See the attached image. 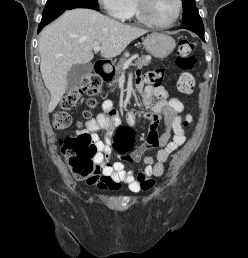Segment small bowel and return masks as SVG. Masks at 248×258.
Wrapping results in <instances>:
<instances>
[{
    "label": "small bowel",
    "instance_id": "c3829d8e",
    "mask_svg": "<svg viewBox=\"0 0 248 258\" xmlns=\"http://www.w3.org/2000/svg\"><path fill=\"white\" fill-rule=\"evenodd\" d=\"M143 103L150 107L149 112L131 110L127 114V123L134 125L137 119H147L151 121L150 132L147 139L138 145L132 154L124 157V160L130 163L138 162L147 150L159 147L156 159L152 156H145L144 168L138 177H135L132 171L126 170L123 161L110 162L111 155V137L114 130L120 124V117L113 107V102L106 99L102 103V112L95 118L86 122L85 129L79 133L90 134L97 147V154L94 162L102 169L103 175L97 180H87V185H96L101 189H117L121 184L127 185L132 192H144L151 188V177H159L164 173V164L185 140V130L182 127V112L184 105L178 98H169L166 89L163 86L147 85L143 87L140 80L137 81ZM154 98L157 99L154 102ZM163 121L164 131L161 134L157 132L159 121ZM106 131L105 140L101 141L98 131Z\"/></svg>",
    "mask_w": 248,
    "mask_h": 258
}]
</instances>
